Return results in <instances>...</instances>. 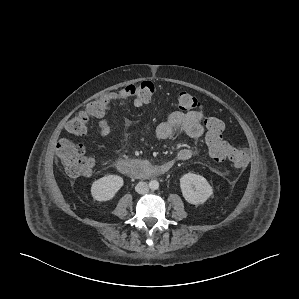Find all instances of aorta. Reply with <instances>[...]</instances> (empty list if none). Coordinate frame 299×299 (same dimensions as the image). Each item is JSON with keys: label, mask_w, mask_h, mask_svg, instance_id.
<instances>
[{"label": "aorta", "mask_w": 299, "mask_h": 299, "mask_svg": "<svg viewBox=\"0 0 299 299\" xmlns=\"http://www.w3.org/2000/svg\"><path fill=\"white\" fill-rule=\"evenodd\" d=\"M149 187L152 190H157L159 188V182L157 180H151L149 183Z\"/></svg>", "instance_id": "aorta-1"}]
</instances>
